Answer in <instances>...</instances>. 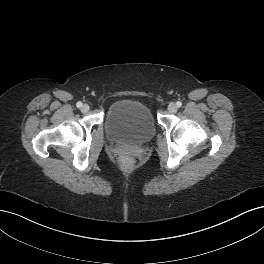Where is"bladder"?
Listing matches in <instances>:
<instances>
[{
    "label": "bladder",
    "instance_id": "1",
    "mask_svg": "<svg viewBox=\"0 0 264 264\" xmlns=\"http://www.w3.org/2000/svg\"><path fill=\"white\" fill-rule=\"evenodd\" d=\"M104 129L110 141L122 145H143L151 141L156 132L150 109L131 99L110 105L104 117Z\"/></svg>",
    "mask_w": 264,
    "mask_h": 264
}]
</instances>
